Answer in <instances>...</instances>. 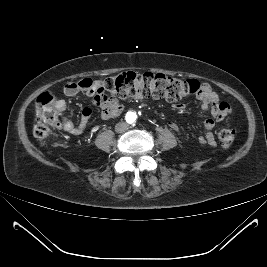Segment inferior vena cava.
Here are the masks:
<instances>
[{
	"label": "inferior vena cava",
	"mask_w": 267,
	"mask_h": 267,
	"mask_svg": "<svg viewBox=\"0 0 267 267\" xmlns=\"http://www.w3.org/2000/svg\"><path fill=\"white\" fill-rule=\"evenodd\" d=\"M128 130V124L125 122H119L115 126V131L118 133H122Z\"/></svg>",
	"instance_id": "inferior-vena-cava-1"
}]
</instances>
